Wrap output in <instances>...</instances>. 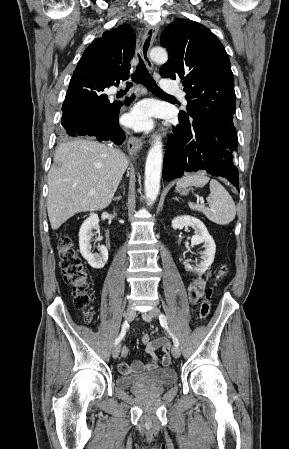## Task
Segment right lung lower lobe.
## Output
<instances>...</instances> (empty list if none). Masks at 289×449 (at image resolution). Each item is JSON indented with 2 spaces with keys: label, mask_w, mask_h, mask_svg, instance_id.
I'll return each mask as SVG.
<instances>
[{
  "label": "right lung lower lobe",
  "mask_w": 289,
  "mask_h": 449,
  "mask_svg": "<svg viewBox=\"0 0 289 449\" xmlns=\"http://www.w3.org/2000/svg\"><path fill=\"white\" fill-rule=\"evenodd\" d=\"M106 86L101 82L79 80L72 77L65 100L61 124L64 135L96 136L99 141L111 140L116 145L125 141V132L118 122L122 102H111L103 94ZM134 96L124 102L129 105Z\"/></svg>",
  "instance_id": "right-lung-lower-lobe-1"
}]
</instances>
